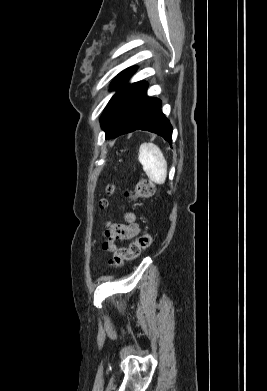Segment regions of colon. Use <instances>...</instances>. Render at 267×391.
<instances>
[{"label":"colon","mask_w":267,"mask_h":391,"mask_svg":"<svg viewBox=\"0 0 267 391\" xmlns=\"http://www.w3.org/2000/svg\"><path fill=\"white\" fill-rule=\"evenodd\" d=\"M116 191V188L113 185L107 187V194L111 195ZM155 192V185L148 179H140L135 188L130 191L128 189H123L120 192V195L123 199L126 200H136L141 198L151 197ZM107 205L106 199H101L100 207L104 208ZM151 244V237L148 234H141L134 241H132L128 246L118 249L111 261V264L114 267L122 266L126 261H131L136 259L142 251L147 249Z\"/></svg>","instance_id":"1"}]
</instances>
